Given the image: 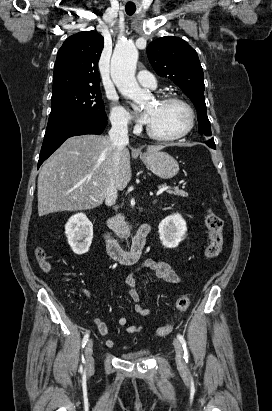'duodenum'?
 <instances>
[{"label": "duodenum", "instance_id": "obj_1", "mask_svg": "<svg viewBox=\"0 0 272 411\" xmlns=\"http://www.w3.org/2000/svg\"><path fill=\"white\" fill-rule=\"evenodd\" d=\"M151 232L149 224H143L136 233L132 246L129 250H124L119 245L116 238L108 233L102 235L108 254L115 261L122 265H129L137 261L146 246V240Z\"/></svg>", "mask_w": 272, "mask_h": 411}]
</instances>
